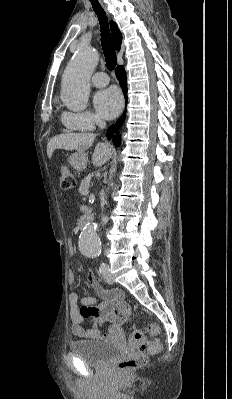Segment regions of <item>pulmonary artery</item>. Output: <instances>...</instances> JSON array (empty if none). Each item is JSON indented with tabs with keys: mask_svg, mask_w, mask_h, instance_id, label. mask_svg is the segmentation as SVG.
<instances>
[{
	"mask_svg": "<svg viewBox=\"0 0 232 399\" xmlns=\"http://www.w3.org/2000/svg\"><path fill=\"white\" fill-rule=\"evenodd\" d=\"M93 83L95 85L94 90H98V88H100V85L98 84H108L109 78L107 77L106 73H102L101 70H98L96 77L93 78Z\"/></svg>",
	"mask_w": 232,
	"mask_h": 399,
	"instance_id": "1",
	"label": "pulmonary artery"
}]
</instances>
